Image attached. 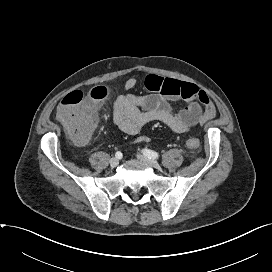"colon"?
<instances>
[{
  "label": "colon",
  "mask_w": 272,
  "mask_h": 272,
  "mask_svg": "<svg viewBox=\"0 0 272 272\" xmlns=\"http://www.w3.org/2000/svg\"><path fill=\"white\" fill-rule=\"evenodd\" d=\"M106 96L105 87H96L88 94L74 91L62 100L58 118L75 143L85 144L89 140L96 123V105ZM186 145L190 149H197L200 141L192 137L187 139Z\"/></svg>",
  "instance_id": "colon-1"
}]
</instances>
